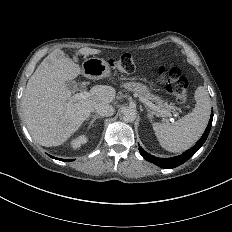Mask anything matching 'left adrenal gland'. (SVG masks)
Listing matches in <instances>:
<instances>
[{"mask_svg":"<svg viewBox=\"0 0 232 232\" xmlns=\"http://www.w3.org/2000/svg\"><path fill=\"white\" fill-rule=\"evenodd\" d=\"M153 115H154L153 112L148 109L147 117L150 119L151 122H152Z\"/></svg>","mask_w":232,"mask_h":232,"instance_id":"left-adrenal-gland-1","label":"left adrenal gland"}]
</instances>
